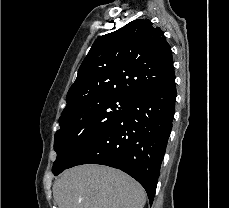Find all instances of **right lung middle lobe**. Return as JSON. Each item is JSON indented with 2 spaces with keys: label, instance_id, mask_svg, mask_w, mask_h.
<instances>
[{
  "label": "right lung middle lobe",
  "instance_id": "obj_1",
  "mask_svg": "<svg viewBox=\"0 0 229 208\" xmlns=\"http://www.w3.org/2000/svg\"><path fill=\"white\" fill-rule=\"evenodd\" d=\"M133 101L126 96H105L82 104L60 117V129L54 138L57 158L52 172L58 175L67 169L81 149L114 124Z\"/></svg>",
  "mask_w": 229,
  "mask_h": 208
}]
</instances>
